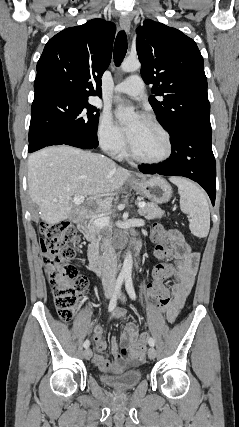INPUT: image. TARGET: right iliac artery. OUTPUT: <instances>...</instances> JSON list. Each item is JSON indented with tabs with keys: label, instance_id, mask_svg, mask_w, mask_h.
<instances>
[{
	"label": "right iliac artery",
	"instance_id": "82829eb1",
	"mask_svg": "<svg viewBox=\"0 0 239 427\" xmlns=\"http://www.w3.org/2000/svg\"><path fill=\"white\" fill-rule=\"evenodd\" d=\"M123 280H124V276H119L118 279H117V282H116V285H115V290H114V293L112 295V298H111L109 306H108L109 312L113 311L114 308L116 307L117 298H118V295L120 293V289L122 287ZM89 345H90L89 340H85V342L83 344L84 348H88Z\"/></svg>",
	"mask_w": 239,
	"mask_h": 427
}]
</instances>
